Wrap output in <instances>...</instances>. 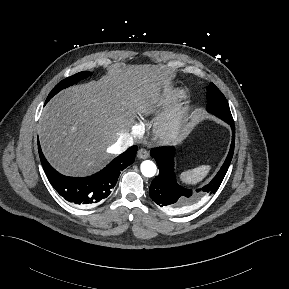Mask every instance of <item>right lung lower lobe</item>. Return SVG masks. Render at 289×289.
<instances>
[{
  "label": "right lung lower lobe",
  "mask_w": 289,
  "mask_h": 289,
  "mask_svg": "<svg viewBox=\"0 0 289 289\" xmlns=\"http://www.w3.org/2000/svg\"><path fill=\"white\" fill-rule=\"evenodd\" d=\"M38 151L48 180L65 200L79 205H93L109 196L121 171L134 162L137 146L128 148L100 172L83 178L60 174L46 160L40 144Z\"/></svg>",
  "instance_id": "98d812e1"
}]
</instances>
